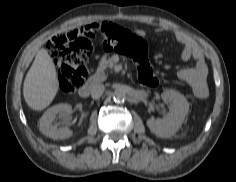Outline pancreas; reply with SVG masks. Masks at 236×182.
Listing matches in <instances>:
<instances>
[{"label": "pancreas", "instance_id": "obj_1", "mask_svg": "<svg viewBox=\"0 0 236 182\" xmlns=\"http://www.w3.org/2000/svg\"><path fill=\"white\" fill-rule=\"evenodd\" d=\"M113 62L110 59H106L105 57L102 58L101 62H100V67L102 68H106V67H113Z\"/></svg>", "mask_w": 236, "mask_h": 182}]
</instances>
